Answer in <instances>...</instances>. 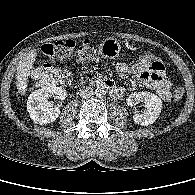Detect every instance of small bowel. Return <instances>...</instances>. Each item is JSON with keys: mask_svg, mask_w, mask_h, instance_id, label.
I'll use <instances>...</instances> for the list:
<instances>
[{"mask_svg": "<svg viewBox=\"0 0 195 195\" xmlns=\"http://www.w3.org/2000/svg\"><path fill=\"white\" fill-rule=\"evenodd\" d=\"M116 71L121 74H132L137 77V80L142 84L153 89L163 101L171 99V82L166 74L158 75L148 72L142 63L138 62L133 66L120 62L116 64ZM125 89L122 86H117L112 92L114 97H120L124 94Z\"/></svg>", "mask_w": 195, "mask_h": 195, "instance_id": "obj_1", "label": "small bowel"}]
</instances>
